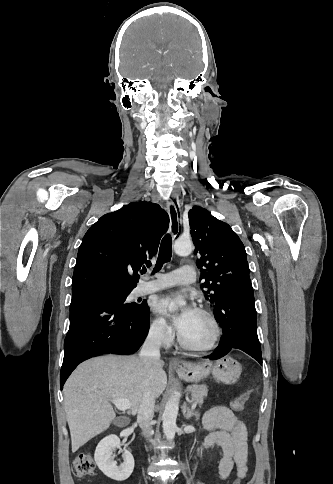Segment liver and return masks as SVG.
<instances>
[{"label": "liver", "mask_w": 333, "mask_h": 484, "mask_svg": "<svg viewBox=\"0 0 333 484\" xmlns=\"http://www.w3.org/2000/svg\"><path fill=\"white\" fill-rule=\"evenodd\" d=\"M164 364L160 359L143 362L137 356H103L78 366L63 389L72 452L108 429L116 417L110 400L129 399L134 415L146 389L158 398L167 385Z\"/></svg>", "instance_id": "obj_1"}]
</instances>
